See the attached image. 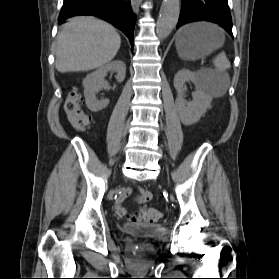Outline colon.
Wrapping results in <instances>:
<instances>
[{
	"instance_id": "colon-1",
	"label": "colon",
	"mask_w": 279,
	"mask_h": 279,
	"mask_svg": "<svg viewBox=\"0 0 279 279\" xmlns=\"http://www.w3.org/2000/svg\"><path fill=\"white\" fill-rule=\"evenodd\" d=\"M81 100L80 92L78 89L73 88L69 91L64 105L68 121L78 131L86 130L91 123L90 117L82 108ZM127 218L131 222L153 223L161 218V212L153 207L142 208L131 212Z\"/></svg>"
}]
</instances>
